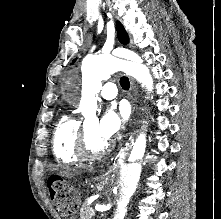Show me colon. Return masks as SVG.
I'll use <instances>...</instances> for the list:
<instances>
[{
  "label": "colon",
  "instance_id": "5ec220e1",
  "mask_svg": "<svg viewBox=\"0 0 221 219\" xmlns=\"http://www.w3.org/2000/svg\"><path fill=\"white\" fill-rule=\"evenodd\" d=\"M65 182L63 181H51L50 183V188H51V191L58 194V195H62L63 192L66 190L65 189ZM64 196V195H63ZM66 202H67V205L70 209V213L73 212V208H74V204H75V194L73 192H71L68 196H67V199H66Z\"/></svg>",
  "mask_w": 221,
  "mask_h": 219
}]
</instances>
